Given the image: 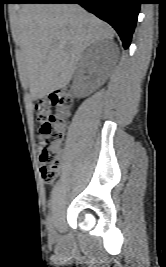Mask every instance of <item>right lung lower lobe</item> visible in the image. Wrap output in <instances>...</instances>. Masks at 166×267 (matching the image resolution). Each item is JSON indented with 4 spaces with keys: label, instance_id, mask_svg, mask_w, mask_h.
Masks as SVG:
<instances>
[{
    "label": "right lung lower lobe",
    "instance_id": "98d812e1",
    "mask_svg": "<svg viewBox=\"0 0 166 267\" xmlns=\"http://www.w3.org/2000/svg\"><path fill=\"white\" fill-rule=\"evenodd\" d=\"M19 3H78L108 22L127 49L136 26L141 0H21Z\"/></svg>",
    "mask_w": 166,
    "mask_h": 267
}]
</instances>
